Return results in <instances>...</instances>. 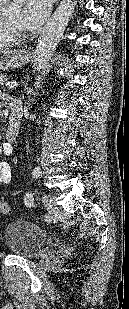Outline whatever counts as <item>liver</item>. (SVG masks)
I'll return each mask as SVG.
<instances>
[{
  "mask_svg": "<svg viewBox=\"0 0 129 309\" xmlns=\"http://www.w3.org/2000/svg\"><path fill=\"white\" fill-rule=\"evenodd\" d=\"M0 48H3V45L0 44Z\"/></svg>",
  "mask_w": 129,
  "mask_h": 309,
  "instance_id": "6515ba94",
  "label": "liver"
}]
</instances>
